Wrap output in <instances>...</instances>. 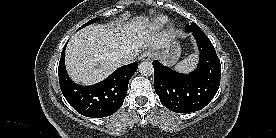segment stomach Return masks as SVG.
<instances>
[{"label": "stomach", "mask_w": 276, "mask_h": 138, "mask_svg": "<svg viewBox=\"0 0 276 138\" xmlns=\"http://www.w3.org/2000/svg\"><path fill=\"white\" fill-rule=\"evenodd\" d=\"M181 48L178 42L171 39L168 44L162 48L161 56L164 64L174 65L180 58Z\"/></svg>", "instance_id": "obj_1"}]
</instances>
